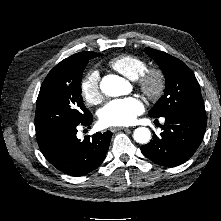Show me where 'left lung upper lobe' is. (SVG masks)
<instances>
[{
	"label": "left lung upper lobe",
	"instance_id": "5c2ea615",
	"mask_svg": "<svg viewBox=\"0 0 221 221\" xmlns=\"http://www.w3.org/2000/svg\"><path fill=\"white\" fill-rule=\"evenodd\" d=\"M145 52L153 58L165 74L164 95L149 111V116L158 118L180 111L205 113L200 86L193 72L179 59L152 48Z\"/></svg>",
	"mask_w": 221,
	"mask_h": 221
}]
</instances>
